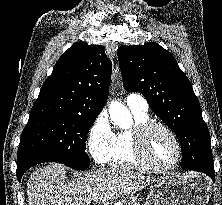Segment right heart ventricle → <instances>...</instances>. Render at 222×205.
<instances>
[{
  "label": "right heart ventricle",
  "mask_w": 222,
  "mask_h": 205,
  "mask_svg": "<svg viewBox=\"0 0 222 205\" xmlns=\"http://www.w3.org/2000/svg\"><path fill=\"white\" fill-rule=\"evenodd\" d=\"M134 125L130 128L121 129L114 134L111 149L106 162L114 167H128L143 171H154L145 164L136 154L134 146V129L137 125L148 120L147 112L132 110Z\"/></svg>",
  "instance_id": "right-heart-ventricle-1"
}]
</instances>
